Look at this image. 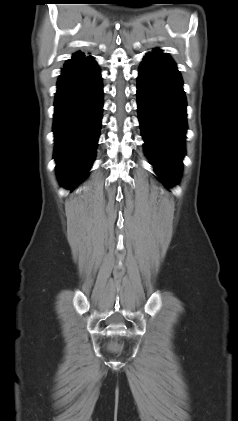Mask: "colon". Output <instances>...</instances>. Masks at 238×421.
I'll use <instances>...</instances> for the list:
<instances>
[{
  "label": "colon",
  "instance_id": "5ec220e1",
  "mask_svg": "<svg viewBox=\"0 0 238 421\" xmlns=\"http://www.w3.org/2000/svg\"><path fill=\"white\" fill-rule=\"evenodd\" d=\"M110 347H111L112 350H118L119 349V345L117 343H112Z\"/></svg>",
  "mask_w": 238,
  "mask_h": 421
}]
</instances>
